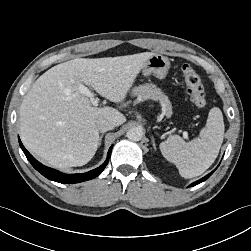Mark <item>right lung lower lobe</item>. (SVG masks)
Returning a JSON list of instances; mask_svg holds the SVG:
<instances>
[{
  "label": "right lung lower lobe",
  "instance_id": "obj_1",
  "mask_svg": "<svg viewBox=\"0 0 251 251\" xmlns=\"http://www.w3.org/2000/svg\"><path fill=\"white\" fill-rule=\"evenodd\" d=\"M19 140V144L21 149L23 150L25 156L27 157V159L29 160V162L32 164V166L39 172L41 173L43 176H45L46 178L59 182V183H65V184H69V183H79V182H83L86 180H90L95 178L96 176H98L105 168V166L108 164L109 158L111 156V151H112V147L111 146L109 148L108 151V156L106 161L99 166L98 168L91 170L89 172L86 173H80V174H64L61 173L57 170H54L52 168L46 167L43 164H41L40 162H38L23 146V144L21 143L20 139Z\"/></svg>",
  "mask_w": 251,
  "mask_h": 251
}]
</instances>
